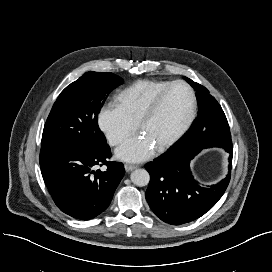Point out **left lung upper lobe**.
Returning <instances> with one entry per match:
<instances>
[{
	"mask_svg": "<svg viewBox=\"0 0 272 272\" xmlns=\"http://www.w3.org/2000/svg\"><path fill=\"white\" fill-rule=\"evenodd\" d=\"M185 79L196 90L199 105V117L188 134L207 145L219 146L230 142L229 125L219 103L205 87L189 78Z\"/></svg>",
	"mask_w": 272,
	"mask_h": 272,
	"instance_id": "5c2ea615",
	"label": "left lung upper lobe"
}]
</instances>
